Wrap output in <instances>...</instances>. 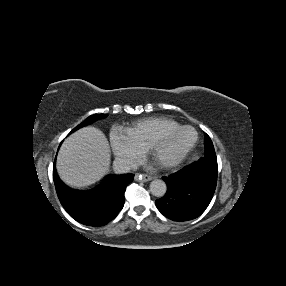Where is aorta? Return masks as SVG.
I'll return each instance as SVG.
<instances>
[{
	"mask_svg": "<svg viewBox=\"0 0 286 286\" xmlns=\"http://www.w3.org/2000/svg\"><path fill=\"white\" fill-rule=\"evenodd\" d=\"M150 192L156 197H163L166 193L167 186L163 180L155 179L150 183Z\"/></svg>",
	"mask_w": 286,
	"mask_h": 286,
	"instance_id": "762f6f07",
	"label": "aorta"
}]
</instances>
